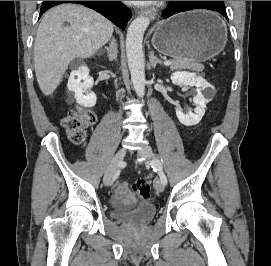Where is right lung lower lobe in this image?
<instances>
[{
    "label": "right lung lower lobe",
    "instance_id": "obj_1",
    "mask_svg": "<svg viewBox=\"0 0 271 266\" xmlns=\"http://www.w3.org/2000/svg\"><path fill=\"white\" fill-rule=\"evenodd\" d=\"M62 3H78L89 7L123 30L131 18V11L120 1H43L39 17L49 8Z\"/></svg>",
    "mask_w": 271,
    "mask_h": 266
}]
</instances>
